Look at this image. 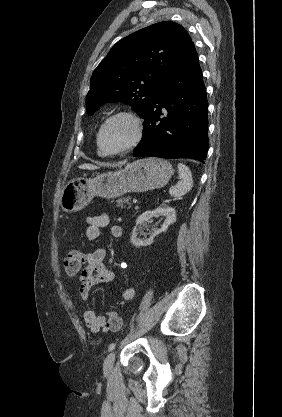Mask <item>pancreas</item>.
<instances>
[{"instance_id":"pancreas-1","label":"pancreas","mask_w":282,"mask_h":417,"mask_svg":"<svg viewBox=\"0 0 282 417\" xmlns=\"http://www.w3.org/2000/svg\"><path fill=\"white\" fill-rule=\"evenodd\" d=\"M130 200H131V196H124V198H117V200H115L116 206H120V209H124L125 202H126V204H129L128 209H131L132 202H130ZM111 202H114V200H111Z\"/></svg>"}]
</instances>
